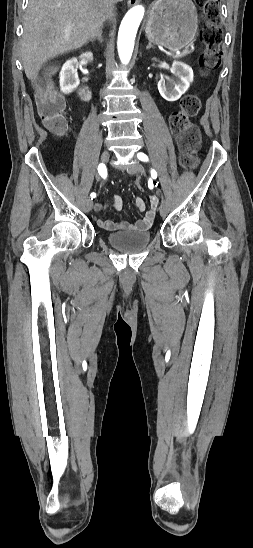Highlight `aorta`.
Masks as SVG:
<instances>
[{"label":"aorta","mask_w":253,"mask_h":548,"mask_svg":"<svg viewBox=\"0 0 253 548\" xmlns=\"http://www.w3.org/2000/svg\"><path fill=\"white\" fill-rule=\"evenodd\" d=\"M145 9L142 5L132 7L124 16L118 32V54L123 64H128L133 53L138 27Z\"/></svg>","instance_id":"1"}]
</instances>
